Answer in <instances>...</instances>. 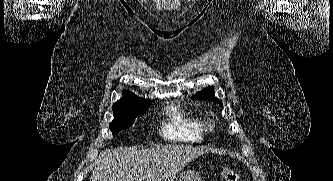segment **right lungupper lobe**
<instances>
[{"label": "right lung upper lobe", "mask_w": 333, "mask_h": 181, "mask_svg": "<svg viewBox=\"0 0 333 181\" xmlns=\"http://www.w3.org/2000/svg\"><path fill=\"white\" fill-rule=\"evenodd\" d=\"M124 95L122 99L118 100L112 107L113 112H118L122 110L139 108L150 105L152 102L150 99H142L133 94L130 91L124 90Z\"/></svg>", "instance_id": "obj_1"}]
</instances>
